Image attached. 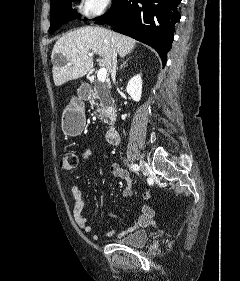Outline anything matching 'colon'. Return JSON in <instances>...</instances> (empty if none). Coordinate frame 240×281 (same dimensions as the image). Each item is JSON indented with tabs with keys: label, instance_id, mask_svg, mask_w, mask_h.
Here are the masks:
<instances>
[{
	"label": "colon",
	"instance_id": "5ec220e1",
	"mask_svg": "<svg viewBox=\"0 0 240 281\" xmlns=\"http://www.w3.org/2000/svg\"><path fill=\"white\" fill-rule=\"evenodd\" d=\"M78 156L73 151H66L62 154L60 159V167L64 171H70L78 166Z\"/></svg>",
	"mask_w": 240,
	"mask_h": 281
}]
</instances>
